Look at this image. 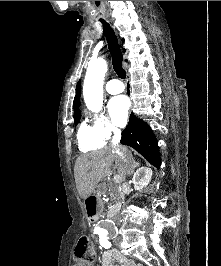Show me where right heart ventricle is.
Here are the masks:
<instances>
[{"label":"right heart ventricle","mask_w":221,"mask_h":266,"mask_svg":"<svg viewBox=\"0 0 221 266\" xmlns=\"http://www.w3.org/2000/svg\"><path fill=\"white\" fill-rule=\"evenodd\" d=\"M77 141L81 151L89 152L102 148L105 141L96 133L95 129L83 122L78 130Z\"/></svg>","instance_id":"1"}]
</instances>
